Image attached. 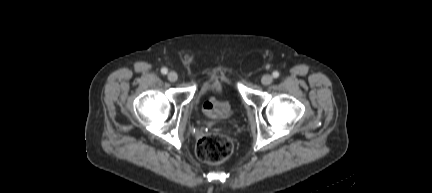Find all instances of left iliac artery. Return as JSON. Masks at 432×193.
Returning a JSON list of instances; mask_svg holds the SVG:
<instances>
[{
    "mask_svg": "<svg viewBox=\"0 0 432 193\" xmlns=\"http://www.w3.org/2000/svg\"><path fill=\"white\" fill-rule=\"evenodd\" d=\"M272 75H273L274 78H278L279 77V72L278 71H274Z\"/></svg>",
    "mask_w": 432,
    "mask_h": 193,
    "instance_id": "left-iliac-artery-1",
    "label": "left iliac artery"
}]
</instances>
